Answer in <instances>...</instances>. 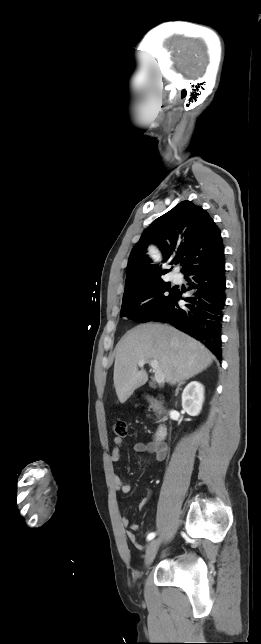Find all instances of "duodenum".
<instances>
[{
  "mask_svg": "<svg viewBox=\"0 0 261 644\" xmlns=\"http://www.w3.org/2000/svg\"><path fill=\"white\" fill-rule=\"evenodd\" d=\"M148 399H149V401H150L151 405L154 407V409H155L157 412H159V411H160V408H159V405H158V403L156 402V400H155V399H153L152 397H149ZM166 434H167L166 426H165L163 423H160V424L158 425L157 429H156V432H155V436H154V441H155V443H157V444H162L163 440H164V439H165V437H166Z\"/></svg>",
  "mask_w": 261,
  "mask_h": 644,
  "instance_id": "obj_1",
  "label": "duodenum"
}]
</instances>
